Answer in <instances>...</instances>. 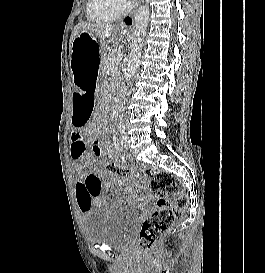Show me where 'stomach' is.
<instances>
[{
    "label": "stomach",
    "instance_id": "1",
    "mask_svg": "<svg viewBox=\"0 0 265 273\" xmlns=\"http://www.w3.org/2000/svg\"><path fill=\"white\" fill-rule=\"evenodd\" d=\"M127 31L122 30L121 35ZM104 49H127V44H104L94 35L82 32L73 41L70 53L71 68L75 82L74 90L78 95L82 91L98 90L100 80H83L84 78H104L105 74L100 73L99 60Z\"/></svg>",
    "mask_w": 265,
    "mask_h": 273
}]
</instances>
